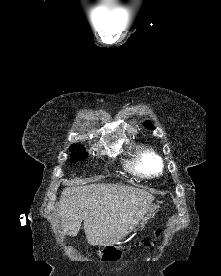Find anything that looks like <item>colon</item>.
Masks as SVG:
<instances>
[{"mask_svg": "<svg viewBox=\"0 0 221 276\" xmlns=\"http://www.w3.org/2000/svg\"><path fill=\"white\" fill-rule=\"evenodd\" d=\"M161 230L156 231L155 237H159ZM153 239L142 242H131V244H122V246L102 245L99 256L103 261H117L121 256V251H129L131 247L151 246Z\"/></svg>", "mask_w": 221, "mask_h": 276, "instance_id": "obj_1", "label": "colon"}]
</instances>
